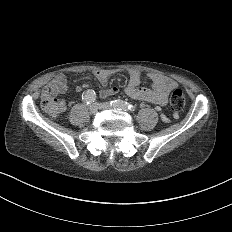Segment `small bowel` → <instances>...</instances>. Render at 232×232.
I'll use <instances>...</instances> for the list:
<instances>
[{
  "label": "small bowel",
  "instance_id": "1",
  "mask_svg": "<svg viewBox=\"0 0 232 232\" xmlns=\"http://www.w3.org/2000/svg\"><path fill=\"white\" fill-rule=\"evenodd\" d=\"M95 75L98 81L102 85H107L109 78L113 75L111 69H96ZM141 76L138 73H132L128 82V85L124 89V93L134 99L155 102L161 105H165L168 101V92L176 87V82L163 75L153 74L152 81L153 85L150 88H139L138 85L141 83ZM86 78H74L70 82L72 84H84ZM68 82L63 74H56L42 89L45 94H58L66 88ZM81 90L80 87L77 88ZM114 96L113 91L104 90L100 93L101 99H109Z\"/></svg>",
  "mask_w": 232,
  "mask_h": 232
}]
</instances>
